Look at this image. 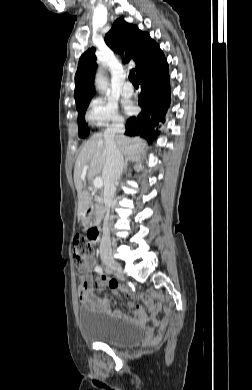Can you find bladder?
Segmentation results:
<instances>
[{
    "label": "bladder",
    "instance_id": "bladder-1",
    "mask_svg": "<svg viewBox=\"0 0 252 390\" xmlns=\"http://www.w3.org/2000/svg\"><path fill=\"white\" fill-rule=\"evenodd\" d=\"M79 321L81 333L89 341L131 348L144 338V329L134 322L112 319L98 313L91 315L85 311L80 312Z\"/></svg>",
    "mask_w": 252,
    "mask_h": 390
}]
</instances>
